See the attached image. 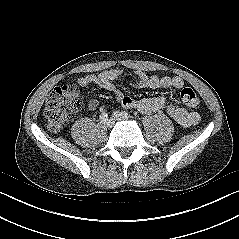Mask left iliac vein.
Segmentation results:
<instances>
[{
  "label": "left iliac vein",
  "instance_id": "obj_1",
  "mask_svg": "<svg viewBox=\"0 0 239 239\" xmlns=\"http://www.w3.org/2000/svg\"><path fill=\"white\" fill-rule=\"evenodd\" d=\"M113 118L117 121L128 120V117H125L123 115V112H119V111H114L113 112Z\"/></svg>",
  "mask_w": 239,
  "mask_h": 239
}]
</instances>
